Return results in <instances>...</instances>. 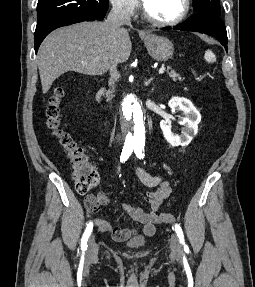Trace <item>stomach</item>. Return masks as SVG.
<instances>
[{
  "label": "stomach",
  "mask_w": 255,
  "mask_h": 287,
  "mask_svg": "<svg viewBox=\"0 0 255 287\" xmlns=\"http://www.w3.org/2000/svg\"><path fill=\"white\" fill-rule=\"evenodd\" d=\"M144 44L149 56H152L156 62H167L174 54L172 42L163 36L148 34V36H144Z\"/></svg>",
  "instance_id": "obj_1"
}]
</instances>
